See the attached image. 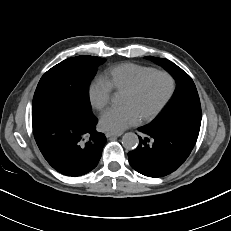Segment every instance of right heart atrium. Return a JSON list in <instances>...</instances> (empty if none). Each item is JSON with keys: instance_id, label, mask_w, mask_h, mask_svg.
Instances as JSON below:
<instances>
[{"instance_id": "right-heart-atrium-1", "label": "right heart atrium", "mask_w": 231, "mask_h": 231, "mask_svg": "<svg viewBox=\"0 0 231 231\" xmlns=\"http://www.w3.org/2000/svg\"><path fill=\"white\" fill-rule=\"evenodd\" d=\"M112 89L104 78L94 79L89 86V100L91 105L99 110H104L111 101Z\"/></svg>"}]
</instances>
